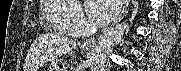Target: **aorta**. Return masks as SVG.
I'll return each instance as SVG.
<instances>
[{"label": "aorta", "mask_w": 181, "mask_h": 71, "mask_svg": "<svg viewBox=\"0 0 181 71\" xmlns=\"http://www.w3.org/2000/svg\"><path fill=\"white\" fill-rule=\"evenodd\" d=\"M127 30L128 24L124 22L116 25L100 38L95 51L90 58L91 71H103L109 54Z\"/></svg>", "instance_id": "1"}]
</instances>
